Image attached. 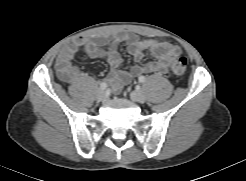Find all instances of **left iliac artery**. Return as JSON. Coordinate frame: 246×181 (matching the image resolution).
<instances>
[{
    "label": "left iliac artery",
    "instance_id": "obj_1",
    "mask_svg": "<svg viewBox=\"0 0 246 181\" xmlns=\"http://www.w3.org/2000/svg\"><path fill=\"white\" fill-rule=\"evenodd\" d=\"M138 80H139L140 83H144L146 81V78H145V76H140L138 78Z\"/></svg>",
    "mask_w": 246,
    "mask_h": 181
}]
</instances>
